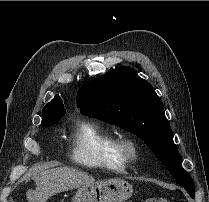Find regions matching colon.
<instances>
[{
	"mask_svg": "<svg viewBox=\"0 0 209 202\" xmlns=\"http://www.w3.org/2000/svg\"><path fill=\"white\" fill-rule=\"evenodd\" d=\"M144 202H168L166 198H148Z\"/></svg>",
	"mask_w": 209,
	"mask_h": 202,
	"instance_id": "obj_1",
	"label": "colon"
}]
</instances>
